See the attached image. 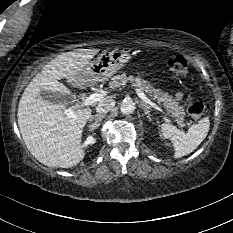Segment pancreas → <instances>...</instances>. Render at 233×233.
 <instances>
[{"mask_svg":"<svg viewBox=\"0 0 233 233\" xmlns=\"http://www.w3.org/2000/svg\"><path fill=\"white\" fill-rule=\"evenodd\" d=\"M127 81L134 83L140 91L146 93L147 95L152 97L153 100L163 105L164 108L176 118L177 123L181 127L185 126V124L183 123L185 115L183 107L179 106V103L175 99H173V97L170 96L168 93H165L160 89L154 88L148 81L140 77L134 78L133 76L121 74L113 76L111 81L109 82V86L111 88L119 87L122 84V82Z\"/></svg>","mask_w":233,"mask_h":233,"instance_id":"cf45deb5","label":"pancreas"}]
</instances>
